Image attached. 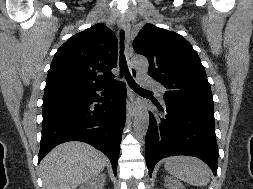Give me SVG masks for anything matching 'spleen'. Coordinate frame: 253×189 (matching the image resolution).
<instances>
[{"label":"spleen","instance_id":"spleen-1","mask_svg":"<svg viewBox=\"0 0 253 189\" xmlns=\"http://www.w3.org/2000/svg\"><path fill=\"white\" fill-rule=\"evenodd\" d=\"M165 169L175 178L194 186L206 185L210 170L201 160L191 156H172L164 160Z\"/></svg>","mask_w":253,"mask_h":189}]
</instances>
